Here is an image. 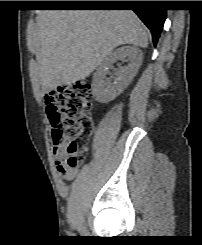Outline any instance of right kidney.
Returning <instances> with one entry per match:
<instances>
[{
  "mask_svg": "<svg viewBox=\"0 0 202 245\" xmlns=\"http://www.w3.org/2000/svg\"><path fill=\"white\" fill-rule=\"evenodd\" d=\"M142 59V51L134 46H123L108 54L93 75L92 91L95 99L101 103H107L120 95L137 74ZM118 60L128 62V65L116 71L117 77L111 83L106 75Z\"/></svg>",
  "mask_w": 202,
  "mask_h": 245,
  "instance_id": "obj_1",
  "label": "right kidney"
}]
</instances>
